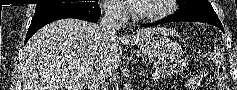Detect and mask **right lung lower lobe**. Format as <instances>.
<instances>
[{"label":"right lung lower lobe","mask_w":237,"mask_h":90,"mask_svg":"<svg viewBox=\"0 0 237 90\" xmlns=\"http://www.w3.org/2000/svg\"><path fill=\"white\" fill-rule=\"evenodd\" d=\"M100 17V7L98 4L93 6H72L64 7L43 14L34 15L28 29L25 42L38 31L41 27L55 20L64 18H76L96 23Z\"/></svg>","instance_id":"right-lung-lower-lobe-1"}]
</instances>
